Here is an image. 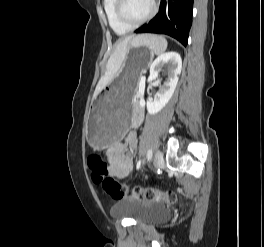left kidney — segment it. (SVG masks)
<instances>
[{"label":"left kidney","mask_w":264,"mask_h":247,"mask_svg":"<svg viewBox=\"0 0 264 247\" xmlns=\"http://www.w3.org/2000/svg\"><path fill=\"white\" fill-rule=\"evenodd\" d=\"M165 65L168 66L167 81L160 87L153 100H147V111L151 115L161 111L171 99L178 82V75L181 73L182 59L178 53L172 51L158 56L151 63L148 82L157 79Z\"/></svg>","instance_id":"obj_1"}]
</instances>
